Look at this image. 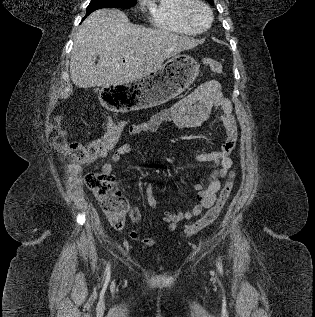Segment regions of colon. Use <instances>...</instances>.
Returning <instances> with one entry per match:
<instances>
[{
	"label": "colon",
	"instance_id": "colon-1",
	"mask_svg": "<svg viewBox=\"0 0 315 317\" xmlns=\"http://www.w3.org/2000/svg\"><path fill=\"white\" fill-rule=\"evenodd\" d=\"M204 65L208 70L215 74L223 72L222 65L214 59H204ZM125 121L112 122L107 132L97 141L84 145L81 143H71L67 147V154L78 164H87L105 156L113 142L118 138L126 126ZM235 174L230 173L229 179L222 187L216 203L208 209L204 216L191 224L186 229V236H192L203 228L214 223L219 217L233 189ZM85 181L88 188L100 202L102 210L116 229H122L125 225V217L129 209V201L118 189L112 174L106 173L102 168L86 174Z\"/></svg>",
	"mask_w": 315,
	"mask_h": 317
}]
</instances>
